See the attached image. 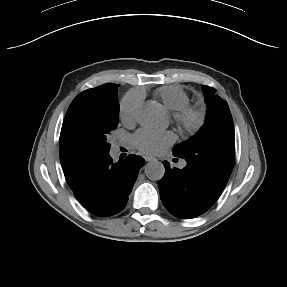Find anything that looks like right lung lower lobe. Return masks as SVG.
Masks as SVG:
<instances>
[{"label": "right lung lower lobe", "mask_w": 287, "mask_h": 287, "mask_svg": "<svg viewBox=\"0 0 287 287\" xmlns=\"http://www.w3.org/2000/svg\"><path fill=\"white\" fill-rule=\"evenodd\" d=\"M109 154L99 157L77 172L69 184L80 204L98 216L120 212L127 203L139 169L141 156L129 155L120 164H111Z\"/></svg>", "instance_id": "1"}]
</instances>
